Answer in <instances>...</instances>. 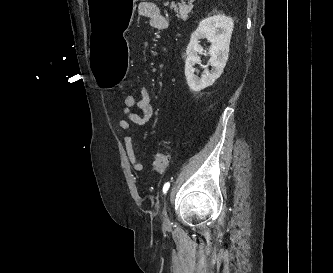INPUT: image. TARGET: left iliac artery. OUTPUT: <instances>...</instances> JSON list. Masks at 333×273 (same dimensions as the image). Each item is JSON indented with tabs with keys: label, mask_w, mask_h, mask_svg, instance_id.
Returning a JSON list of instances; mask_svg holds the SVG:
<instances>
[{
	"label": "left iliac artery",
	"mask_w": 333,
	"mask_h": 273,
	"mask_svg": "<svg viewBox=\"0 0 333 273\" xmlns=\"http://www.w3.org/2000/svg\"><path fill=\"white\" fill-rule=\"evenodd\" d=\"M169 187H170V183L169 182H167V183L164 184V186H163V193L164 194L167 193V191L169 190Z\"/></svg>",
	"instance_id": "left-iliac-artery-1"
}]
</instances>
